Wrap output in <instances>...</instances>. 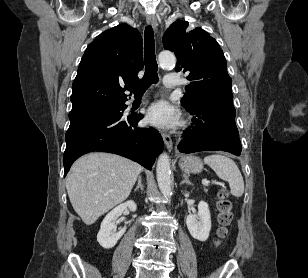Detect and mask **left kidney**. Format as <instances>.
<instances>
[{
	"label": "left kidney",
	"instance_id": "1",
	"mask_svg": "<svg viewBox=\"0 0 308 278\" xmlns=\"http://www.w3.org/2000/svg\"><path fill=\"white\" fill-rule=\"evenodd\" d=\"M187 228L191 236L199 241H206L211 230V216L208 204L201 201L198 204V213L190 214L186 219Z\"/></svg>",
	"mask_w": 308,
	"mask_h": 278
}]
</instances>
